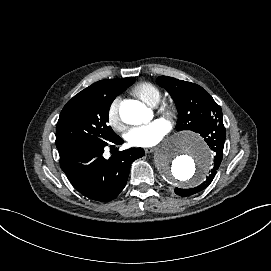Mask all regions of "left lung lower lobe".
<instances>
[{"label": "left lung lower lobe", "instance_id": "obj_1", "mask_svg": "<svg viewBox=\"0 0 271 271\" xmlns=\"http://www.w3.org/2000/svg\"><path fill=\"white\" fill-rule=\"evenodd\" d=\"M198 133L204 138L210 149L214 152V167L211 170L208 178L198 187L191 189L175 188V193L182 197L198 193L209 186L214 179L216 171L218 170L222 161L223 147L226 139V130L223 124V117L217 119L207 128L200 130Z\"/></svg>", "mask_w": 271, "mask_h": 271}]
</instances>
